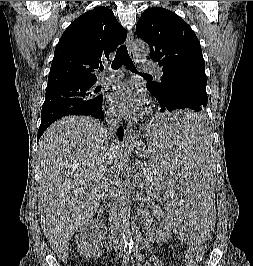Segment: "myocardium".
<instances>
[{
    "mask_svg": "<svg viewBox=\"0 0 253 266\" xmlns=\"http://www.w3.org/2000/svg\"><path fill=\"white\" fill-rule=\"evenodd\" d=\"M151 110H152V107L149 106V107L147 108V111L150 112Z\"/></svg>",
    "mask_w": 253,
    "mask_h": 266,
    "instance_id": "myocardium-1",
    "label": "myocardium"
}]
</instances>
